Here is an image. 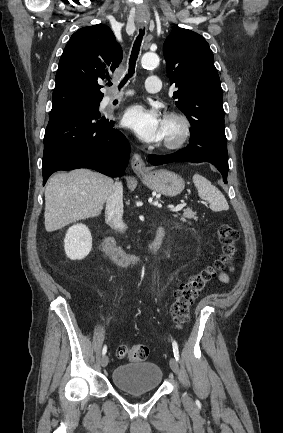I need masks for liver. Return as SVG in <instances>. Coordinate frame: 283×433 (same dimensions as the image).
I'll list each match as a JSON object with an SVG mask.
<instances>
[{
    "label": "liver",
    "mask_w": 283,
    "mask_h": 433,
    "mask_svg": "<svg viewBox=\"0 0 283 433\" xmlns=\"http://www.w3.org/2000/svg\"><path fill=\"white\" fill-rule=\"evenodd\" d=\"M113 188V178L76 168L58 172L48 180L45 190V229H62L80 219L98 217Z\"/></svg>",
    "instance_id": "liver-1"
}]
</instances>
